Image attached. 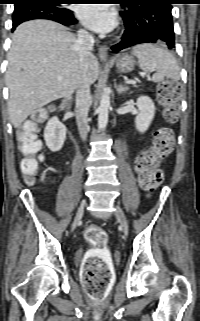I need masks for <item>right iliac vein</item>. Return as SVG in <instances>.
Segmentation results:
<instances>
[{
    "label": "right iliac vein",
    "mask_w": 200,
    "mask_h": 321,
    "mask_svg": "<svg viewBox=\"0 0 200 321\" xmlns=\"http://www.w3.org/2000/svg\"><path fill=\"white\" fill-rule=\"evenodd\" d=\"M86 202L85 200H83L77 210L76 216H75V220H74V224H76L79 219L82 217L83 212H84V206H85Z\"/></svg>",
    "instance_id": "63e3f726"
}]
</instances>
